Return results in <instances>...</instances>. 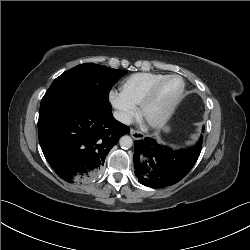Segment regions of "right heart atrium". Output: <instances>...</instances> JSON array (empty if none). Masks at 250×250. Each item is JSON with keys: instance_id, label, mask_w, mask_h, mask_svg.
Returning a JSON list of instances; mask_svg holds the SVG:
<instances>
[{"instance_id": "d8ad5b80", "label": "right heart atrium", "mask_w": 250, "mask_h": 250, "mask_svg": "<svg viewBox=\"0 0 250 250\" xmlns=\"http://www.w3.org/2000/svg\"><path fill=\"white\" fill-rule=\"evenodd\" d=\"M109 100L116 109L117 117L121 122L128 123L135 115V106L125 100L119 92L111 91Z\"/></svg>"}]
</instances>
